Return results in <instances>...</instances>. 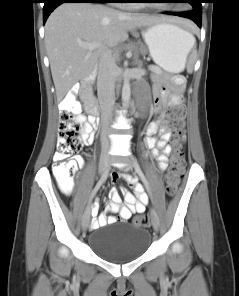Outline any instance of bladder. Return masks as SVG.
<instances>
[{"label":"bladder","mask_w":239,"mask_h":296,"mask_svg":"<svg viewBox=\"0 0 239 296\" xmlns=\"http://www.w3.org/2000/svg\"><path fill=\"white\" fill-rule=\"evenodd\" d=\"M151 236L147 229L130 223L105 225L90 238V248L104 260L127 262L140 258L149 248Z\"/></svg>","instance_id":"bladder-1"}]
</instances>
